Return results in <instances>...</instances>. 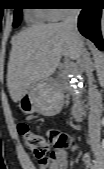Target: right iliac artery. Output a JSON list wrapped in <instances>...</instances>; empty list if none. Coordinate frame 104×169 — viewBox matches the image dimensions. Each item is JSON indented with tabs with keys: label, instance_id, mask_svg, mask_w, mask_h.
I'll return each mask as SVG.
<instances>
[{
	"label": "right iliac artery",
	"instance_id": "obj_1",
	"mask_svg": "<svg viewBox=\"0 0 104 169\" xmlns=\"http://www.w3.org/2000/svg\"><path fill=\"white\" fill-rule=\"evenodd\" d=\"M93 163V169H101L95 160L93 161Z\"/></svg>",
	"mask_w": 104,
	"mask_h": 169
}]
</instances>
